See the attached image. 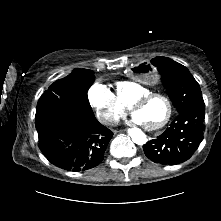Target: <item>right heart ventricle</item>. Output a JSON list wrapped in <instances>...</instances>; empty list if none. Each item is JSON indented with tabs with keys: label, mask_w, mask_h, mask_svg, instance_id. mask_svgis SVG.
<instances>
[{
	"label": "right heart ventricle",
	"mask_w": 221,
	"mask_h": 221,
	"mask_svg": "<svg viewBox=\"0 0 221 221\" xmlns=\"http://www.w3.org/2000/svg\"><path fill=\"white\" fill-rule=\"evenodd\" d=\"M115 90L117 98L125 107L130 106L138 97L151 92L147 87L133 80L117 82Z\"/></svg>",
	"instance_id": "obj_1"
}]
</instances>
